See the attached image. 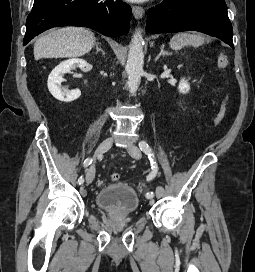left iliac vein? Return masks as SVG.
<instances>
[{"instance_id": "obj_1", "label": "left iliac vein", "mask_w": 255, "mask_h": 272, "mask_svg": "<svg viewBox=\"0 0 255 272\" xmlns=\"http://www.w3.org/2000/svg\"><path fill=\"white\" fill-rule=\"evenodd\" d=\"M128 153L130 154L131 157H133L135 159L141 158V151L135 145H132V146L128 147ZM163 194H164V188L162 186H157L156 187V196L159 198Z\"/></svg>"}]
</instances>
